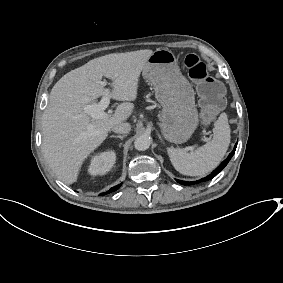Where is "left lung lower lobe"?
Instances as JSON below:
<instances>
[{
  "label": "left lung lower lobe",
  "mask_w": 283,
  "mask_h": 283,
  "mask_svg": "<svg viewBox=\"0 0 283 283\" xmlns=\"http://www.w3.org/2000/svg\"><path fill=\"white\" fill-rule=\"evenodd\" d=\"M236 147H237V143L234 147V150L229 154L228 158L226 160H224L220 166H218L210 175H208L207 177L205 178H202L198 181H193V182H187V181H181V180H176L178 183L182 184V185H194V184H197V183H201V182H206L210 179H212L213 177H215L227 164L228 162L230 161V159L232 158V156L234 155L235 153V150H236Z\"/></svg>",
  "instance_id": "obj_1"
}]
</instances>
